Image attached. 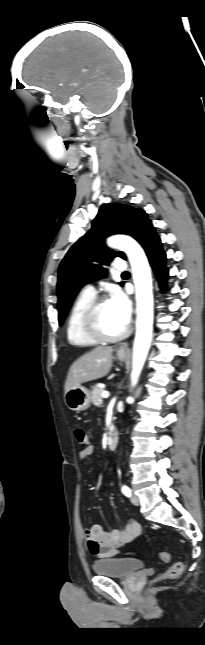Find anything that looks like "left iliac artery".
Listing matches in <instances>:
<instances>
[{"instance_id":"1","label":"left iliac artery","mask_w":205,"mask_h":645,"mask_svg":"<svg viewBox=\"0 0 205 645\" xmlns=\"http://www.w3.org/2000/svg\"><path fill=\"white\" fill-rule=\"evenodd\" d=\"M122 493H123L124 495H126V496H128V497H129V496L131 495V490H130V488H129L128 486L123 485V487H122Z\"/></svg>"}]
</instances>
